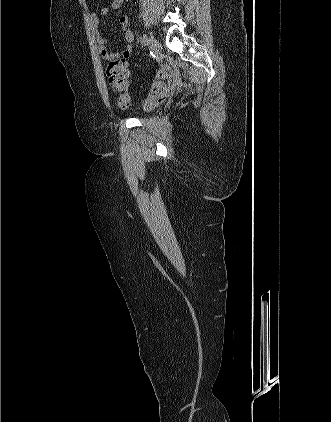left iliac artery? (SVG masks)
I'll return each mask as SVG.
<instances>
[{
	"instance_id": "left-iliac-artery-1",
	"label": "left iliac artery",
	"mask_w": 331,
	"mask_h": 422,
	"mask_svg": "<svg viewBox=\"0 0 331 422\" xmlns=\"http://www.w3.org/2000/svg\"><path fill=\"white\" fill-rule=\"evenodd\" d=\"M142 44L144 45V46H146L147 45V43H148V36H147V34H143V36H142Z\"/></svg>"
}]
</instances>
